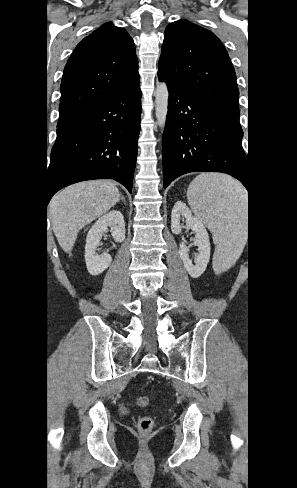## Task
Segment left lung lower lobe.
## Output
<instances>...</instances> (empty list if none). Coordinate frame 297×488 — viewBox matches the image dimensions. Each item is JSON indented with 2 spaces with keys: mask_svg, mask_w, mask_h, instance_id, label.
I'll return each mask as SVG.
<instances>
[{
  "mask_svg": "<svg viewBox=\"0 0 297 488\" xmlns=\"http://www.w3.org/2000/svg\"><path fill=\"white\" fill-rule=\"evenodd\" d=\"M163 134V182L166 188L189 172H222L238 179L248 190L247 156L241 145L238 120L226 116L171 85Z\"/></svg>",
  "mask_w": 297,
  "mask_h": 488,
  "instance_id": "1",
  "label": "left lung lower lobe"
}]
</instances>
